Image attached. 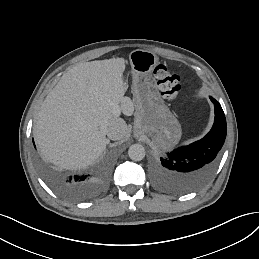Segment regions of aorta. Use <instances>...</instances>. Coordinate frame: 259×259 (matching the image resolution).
<instances>
[{
  "mask_svg": "<svg viewBox=\"0 0 259 259\" xmlns=\"http://www.w3.org/2000/svg\"><path fill=\"white\" fill-rule=\"evenodd\" d=\"M128 155L133 161H141L145 157V148L141 144H133L128 149Z\"/></svg>",
  "mask_w": 259,
  "mask_h": 259,
  "instance_id": "1",
  "label": "aorta"
}]
</instances>
